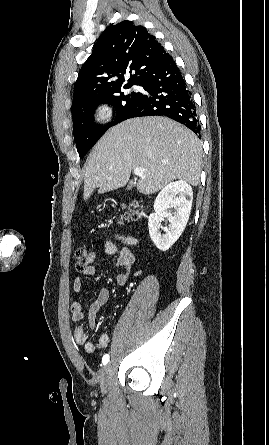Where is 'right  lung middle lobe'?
<instances>
[{"instance_id": "dd1d6c3e", "label": "right lung middle lobe", "mask_w": 269, "mask_h": 445, "mask_svg": "<svg viewBox=\"0 0 269 445\" xmlns=\"http://www.w3.org/2000/svg\"><path fill=\"white\" fill-rule=\"evenodd\" d=\"M132 85H125L124 88H131ZM121 88L95 96L76 107L72 108L73 117V132L74 139L80 158H83L91 147L99 140V138L113 125L124 121L132 111L141 93L131 92L124 94L120 91ZM102 103H108L115 107L116 118L106 126H98L93 122V113L95 108Z\"/></svg>"}]
</instances>
